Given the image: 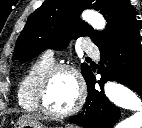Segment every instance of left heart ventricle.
<instances>
[{"instance_id":"left-heart-ventricle-1","label":"left heart ventricle","mask_w":142,"mask_h":128,"mask_svg":"<svg viewBox=\"0 0 142 128\" xmlns=\"http://www.w3.org/2000/svg\"><path fill=\"white\" fill-rule=\"evenodd\" d=\"M77 97V86L73 76L65 71L55 74L48 86L45 102L56 112L68 110Z\"/></svg>"}]
</instances>
